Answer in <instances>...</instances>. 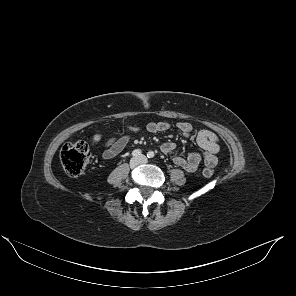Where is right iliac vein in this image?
<instances>
[{
    "label": "right iliac vein",
    "mask_w": 296,
    "mask_h": 296,
    "mask_svg": "<svg viewBox=\"0 0 296 296\" xmlns=\"http://www.w3.org/2000/svg\"><path fill=\"white\" fill-rule=\"evenodd\" d=\"M140 159L139 158H136V157H134V158H132L131 160H130V167L131 168H135V167H137L139 164H140Z\"/></svg>",
    "instance_id": "63e3f726"
}]
</instances>
